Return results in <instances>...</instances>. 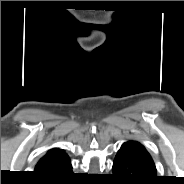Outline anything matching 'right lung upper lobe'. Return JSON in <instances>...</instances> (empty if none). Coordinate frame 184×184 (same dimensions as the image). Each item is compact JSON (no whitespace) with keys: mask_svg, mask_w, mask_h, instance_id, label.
I'll list each match as a JSON object with an SVG mask.
<instances>
[{"mask_svg":"<svg viewBox=\"0 0 184 184\" xmlns=\"http://www.w3.org/2000/svg\"><path fill=\"white\" fill-rule=\"evenodd\" d=\"M67 157H68L67 154L64 153L63 150L51 149L37 163V165L35 167V172L45 171V170L49 169L50 167H52L53 165H55L56 163H58L59 161L65 159Z\"/></svg>","mask_w":184,"mask_h":184,"instance_id":"1","label":"right lung upper lobe"}]
</instances>
